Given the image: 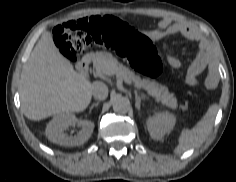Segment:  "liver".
Returning <instances> with one entry per match:
<instances>
[{
	"instance_id": "liver-1",
	"label": "liver",
	"mask_w": 236,
	"mask_h": 182,
	"mask_svg": "<svg viewBox=\"0 0 236 182\" xmlns=\"http://www.w3.org/2000/svg\"><path fill=\"white\" fill-rule=\"evenodd\" d=\"M19 93L24 115L39 121L84 111L91 101L92 84L73 69L56 47L52 34L46 31L23 67Z\"/></svg>"
}]
</instances>
